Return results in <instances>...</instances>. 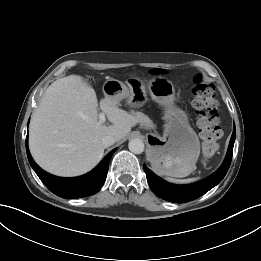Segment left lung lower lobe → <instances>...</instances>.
<instances>
[{
    "mask_svg": "<svg viewBox=\"0 0 261 261\" xmlns=\"http://www.w3.org/2000/svg\"><path fill=\"white\" fill-rule=\"evenodd\" d=\"M235 141V125L231 136L228 152L225 160L220 168L207 177L206 179L190 185H172L156 176L146 165L144 171L146 173L147 181L153 192L160 198L174 202L186 203L204 195L214 186H216L226 175L233 154V146Z\"/></svg>",
    "mask_w": 261,
    "mask_h": 261,
    "instance_id": "obj_1",
    "label": "left lung lower lobe"
}]
</instances>
